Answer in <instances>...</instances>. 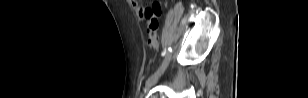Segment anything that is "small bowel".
I'll use <instances>...</instances> for the list:
<instances>
[{"label": "small bowel", "mask_w": 308, "mask_h": 98, "mask_svg": "<svg viewBox=\"0 0 308 98\" xmlns=\"http://www.w3.org/2000/svg\"><path fill=\"white\" fill-rule=\"evenodd\" d=\"M131 4H132L133 6H136L137 2H136L135 0H133V1L131 2ZM142 17L148 19L146 16H142ZM148 20H149V19H148ZM149 24H151L150 20H149Z\"/></svg>", "instance_id": "c3829d8e"}]
</instances>
